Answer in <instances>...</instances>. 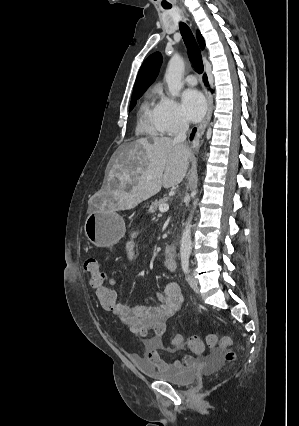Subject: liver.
Wrapping results in <instances>:
<instances>
[{
  "label": "liver",
  "instance_id": "obj_1",
  "mask_svg": "<svg viewBox=\"0 0 299 426\" xmlns=\"http://www.w3.org/2000/svg\"><path fill=\"white\" fill-rule=\"evenodd\" d=\"M190 149L169 137L140 138L121 145L102 194L115 210H129L157 194L162 187L177 186L184 179Z\"/></svg>",
  "mask_w": 299,
  "mask_h": 426
}]
</instances>
